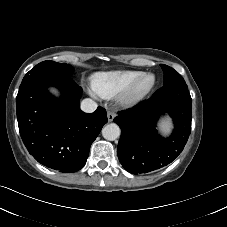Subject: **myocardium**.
Here are the masks:
<instances>
[{
  "label": "myocardium",
  "mask_w": 227,
  "mask_h": 227,
  "mask_svg": "<svg viewBox=\"0 0 227 227\" xmlns=\"http://www.w3.org/2000/svg\"><path fill=\"white\" fill-rule=\"evenodd\" d=\"M146 80H148L147 83H145ZM155 83L156 77L153 73H142L125 91L120 94V103L128 106L138 103L149 94Z\"/></svg>",
  "instance_id": "1"
}]
</instances>
